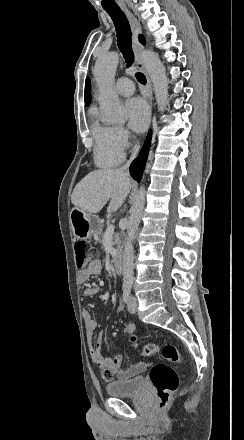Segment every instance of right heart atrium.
<instances>
[{
	"instance_id": "obj_1",
	"label": "right heart atrium",
	"mask_w": 244,
	"mask_h": 440,
	"mask_svg": "<svg viewBox=\"0 0 244 440\" xmlns=\"http://www.w3.org/2000/svg\"><path fill=\"white\" fill-rule=\"evenodd\" d=\"M130 132L123 126L111 127L110 137L105 142L107 150L122 151L129 145Z\"/></svg>"
}]
</instances>
